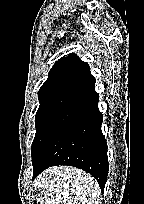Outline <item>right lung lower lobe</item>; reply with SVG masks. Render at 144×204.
<instances>
[{"instance_id": "1", "label": "right lung lower lobe", "mask_w": 144, "mask_h": 204, "mask_svg": "<svg viewBox=\"0 0 144 204\" xmlns=\"http://www.w3.org/2000/svg\"><path fill=\"white\" fill-rule=\"evenodd\" d=\"M103 115L95 89L72 102L33 161V180L46 168L70 165L94 176L104 190L108 175L107 143L101 131Z\"/></svg>"}]
</instances>
